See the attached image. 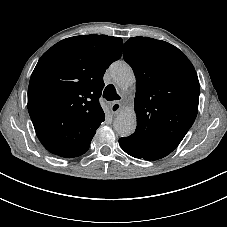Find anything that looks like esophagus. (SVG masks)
Masks as SVG:
<instances>
[{
  "instance_id": "1",
  "label": "esophagus",
  "mask_w": 227,
  "mask_h": 227,
  "mask_svg": "<svg viewBox=\"0 0 227 227\" xmlns=\"http://www.w3.org/2000/svg\"><path fill=\"white\" fill-rule=\"evenodd\" d=\"M122 108V104L119 103V102H114L112 105H111V112L113 114H116L120 111V109Z\"/></svg>"
}]
</instances>
